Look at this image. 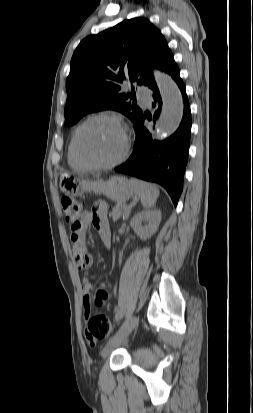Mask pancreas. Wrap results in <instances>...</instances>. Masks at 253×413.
Segmentation results:
<instances>
[{
	"label": "pancreas",
	"instance_id": "pancreas-1",
	"mask_svg": "<svg viewBox=\"0 0 253 413\" xmlns=\"http://www.w3.org/2000/svg\"><path fill=\"white\" fill-rule=\"evenodd\" d=\"M128 209V207L125 204H117L113 209L112 212L109 214L110 217H112V219L114 221L118 220L124 211H126Z\"/></svg>",
	"mask_w": 253,
	"mask_h": 413
}]
</instances>
